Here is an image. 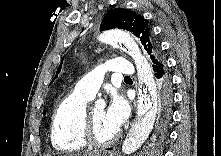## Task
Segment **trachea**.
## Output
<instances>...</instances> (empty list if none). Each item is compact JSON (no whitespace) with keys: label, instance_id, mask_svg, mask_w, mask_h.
<instances>
[{"label":"trachea","instance_id":"1","mask_svg":"<svg viewBox=\"0 0 221 156\" xmlns=\"http://www.w3.org/2000/svg\"><path fill=\"white\" fill-rule=\"evenodd\" d=\"M125 78H130L129 76H126Z\"/></svg>","mask_w":221,"mask_h":156}]
</instances>
